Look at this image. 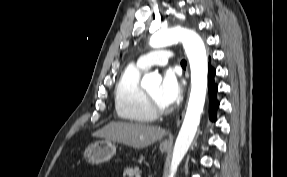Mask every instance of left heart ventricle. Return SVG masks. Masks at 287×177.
<instances>
[{
  "mask_svg": "<svg viewBox=\"0 0 287 177\" xmlns=\"http://www.w3.org/2000/svg\"><path fill=\"white\" fill-rule=\"evenodd\" d=\"M160 88H161V85L156 84V85L150 87L147 91L162 107L168 108L169 105L164 103V101L161 99Z\"/></svg>",
  "mask_w": 287,
  "mask_h": 177,
  "instance_id": "1",
  "label": "left heart ventricle"
}]
</instances>
